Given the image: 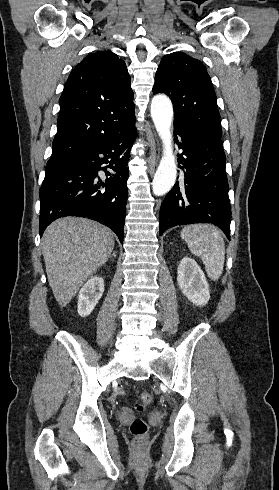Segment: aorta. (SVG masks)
I'll return each instance as SVG.
<instances>
[{"label":"aorta","instance_id":"aorta-1","mask_svg":"<svg viewBox=\"0 0 279 490\" xmlns=\"http://www.w3.org/2000/svg\"><path fill=\"white\" fill-rule=\"evenodd\" d=\"M151 117L163 143V155L152 182V191L162 196L173 187L177 177V166L172 145L171 126L173 123V107L165 95H156L151 101Z\"/></svg>","mask_w":279,"mask_h":490}]
</instances>
